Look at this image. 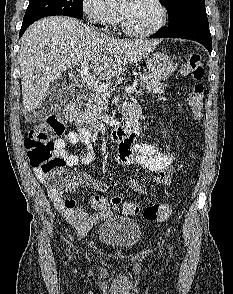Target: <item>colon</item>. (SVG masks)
Here are the masks:
<instances>
[{
    "instance_id": "colon-1",
    "label": "colon",
    "mask_w": 233,
    "mask_h": 294,
    "mask_svg": "<svg viewBox=\"0 0 233 294\" xmlns=\"http://www.w3.org/2000/svg\"><path fill=\"white\" fill-rule=\"evenodd\" d=\"M183 73L192 84L188 95V104L196 119H201L204 98V64L201 55L191 54L183 66ZM65 126L61 118L51 115L45 120L36 123L29 131L25 139V147L30 164L45 175L50 184L60 190H72L76 180L66 170V160L61 156L56 147L55 137L61 135ZM120 198L115 197L111 201L112 206H118ZM125 213L136 215L141 213L149 221L164 222L170 215V208L167 204L153 203L146 207H139L135 203L123 205Z\"/></svg>"
}]
</instances>
